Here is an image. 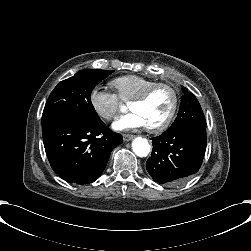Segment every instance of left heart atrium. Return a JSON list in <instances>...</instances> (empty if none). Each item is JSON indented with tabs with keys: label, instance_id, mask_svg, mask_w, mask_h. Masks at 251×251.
<instances>
[{
	"label": "left heart atrium",
	"instance_id": "obj_1",
	"mask_svg": "<svg viewBox=\"0 0 251 251\" xmlns=\"http://www.w3.org/2000/svg\"><path fill=\"white\" fill-rule=\"evenodd\" d=\"M147 126V120L139 110H133L127 114L121 115L113 123V128L118 131H127Z\"/></svg>",
	"mask_w": 251,
	"mask_h": 251
}]
</instances>
